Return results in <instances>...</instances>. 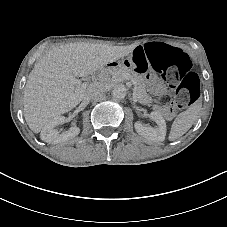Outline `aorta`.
<instances>
[{
    "instance_id": "obj_1",
    "label": "aorta",
    "mask_w": 227,
    "mask_h": 227,
    "mask_svg": "<svg viewBox=\"0 0 227 227\" xmlns=\"http://www.w3.org/2000/svg\"><path fill=\"white\" fill-rule=\"evenodd\" d=\"M127 94V89L124 85H116L112 89L111 95L115 100H122Z\"/></svg>"
}]
</instances>
